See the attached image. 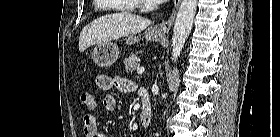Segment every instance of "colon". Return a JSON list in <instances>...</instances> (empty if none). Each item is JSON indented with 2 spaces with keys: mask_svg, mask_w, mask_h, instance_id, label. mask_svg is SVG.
Listing matches in <instances>:
<instances>
[{
  "mask_svg": "<svg viewBox=\"0 0 280 137\" xmlns=\"http://www.w3.org/2000/svg\"><path fill=\"white\" fill-rule=\"evenodd\" d=\"M80 101L82 105L89 110H94L97 107V98L93 94L82 93L80 96Z\"/></svg>",
  "mask_w": 280,
  "mask_h": 137,
  "instance_id": "5ec220e1",
  "label": "colon"
}]
</instances>
